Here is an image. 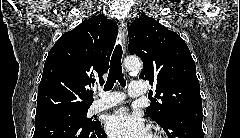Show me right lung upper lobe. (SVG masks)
Wrapping results in <instances>:
<instances>
[{
    "mask_svg": "<svg viewBox=\"0 0 240 138\" xmlns=\"http://www.w3.org/2000/svg\"><path fill=\"white\" fill-rule=\"evenodd\" d=\"M117 33L115 22L98 15L58 39L44 64L36 115L90 107L93 97L87 87L104 83Z\"/></svg>",
    "mask_w": 240,
    "mask_h": 138,
    "instance_id": "right-lung-upper-lobe-1",
    "label": "right lung upper lobe"
}]
</instances>
